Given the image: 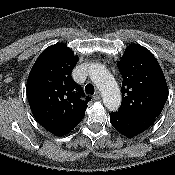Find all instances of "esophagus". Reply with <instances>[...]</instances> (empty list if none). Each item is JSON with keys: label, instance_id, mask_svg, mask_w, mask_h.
I'll return each instance as SVG.
<instances>
[{"label": "esophagus", "instance_id": "esophagus-1", "mask_svg": "<svg viewBox=\"0 0 175 175\" xmlns=\"http://www.w3.org/2000/svg\"><path fill=\"white\" fill-rule=\"evenodd\" d=\"M101 98V92L100 91H96L95 95L93 96L94 100H99Z\"/></svg>", "mask_w": 175, "mask_h": 175}]
</instances>
